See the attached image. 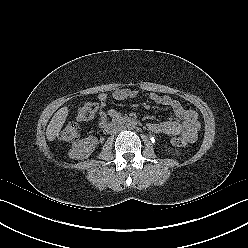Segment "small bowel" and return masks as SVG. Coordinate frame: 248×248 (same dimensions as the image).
Listing matches in <instances>:
<instances>
[{"label": "small bowel", "instance_id": "obj_1", "mask_svg": "<svg viewBox=\"0 0 248 248\" xmlns=\"http://www.w3.org/2000/svg\"><path fill=\"white\" fill-rule=\"evenodd\" d=\"M136 96L137 91L128 88L118 89L112 94V98L115 101L133 99ZM149 98L156 104L171 108L178 119L177 121L168 120L163 122H150L148 124V129L150 131L170 136L181 135L188 143L194 142L197 139L200 123L196 111L184 108L179 101L166 95L161 96L152 93L149 95ZM98 100L100 103L98 124L100 127L105 128L108 125L109 119L117 118L119 114L115 110H106L105 107L109 100V96L106 93L99 94Z\"/></svg>", "mask_w": 248, "mask_h": 248}]
</instances>
